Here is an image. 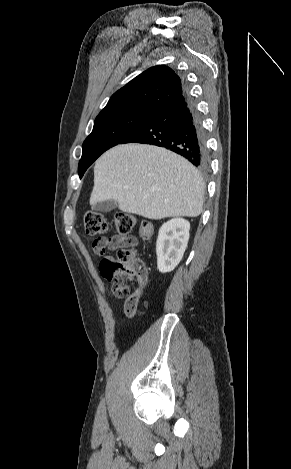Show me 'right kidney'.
I'll use <instances>...</instances> for the list:
<instances>
[{
  "mask_svg": "<svg viewBox=\"0 0 291 469\" xmlns=\"http://www.w3.org/2000/svg\"><path fill=\"white\" fill-rule=\"evenodd\" d=\"M189 230L190 223L181 218L171 219L159 229L156 254L161 273L171 272L181 261L187 248Z\"/></svg>",
  "mask_w": 291,
  "mask_h": 469,
  "instance_id": "obj_1",
  "label": "right kidney"
}]
</instances>
